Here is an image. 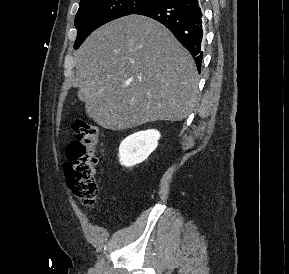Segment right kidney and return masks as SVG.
Listing matches in <instances>:
<instances>
[{"label": "right kidney", "mask_w": 289, "mask_h": 274, "mask_svg": "<svg viewBox=\"0 0 289 274\" xmlns=\"http://www.w3.org/2000/svg\"><path fill=\"white\" fill-rule=\"evenodd\" d=\"M160 136L159 131L149 129L126 137L119 146L121 165L132 167L146 160L157 148Z\"/></svg>", "instance_id": "right-kidney-1"}]
</instances>
